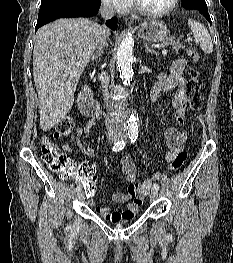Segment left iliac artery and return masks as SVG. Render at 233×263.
Here are the masks:
<instances>
[{
	"instance_id": "obj_1",
	"label": "left iliac artery",
	"mask_w": 233,
	"mask_h": 263,
	"mask_svg": "<svg viewBox=\"0 0 233 263\" xmlns=\"http://www.w3.org/2000/svg\"><path fill=\"white\" fill-rule=\"evenodd\" d=\"M128 135L131 143H134L137 140L138 132L136 130H131L130 132H128ZM153 188L158 191L159 185L157 183H154Z\"/></svg>"
}]
</instances>
